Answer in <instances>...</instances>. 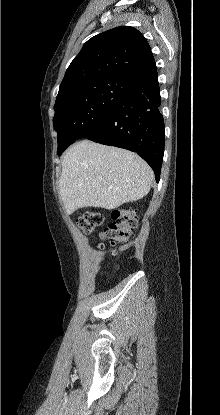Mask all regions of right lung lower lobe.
<instances>
[{
  "instance_id": "right-lung-lower-lobe-1",
  "label": "right lung lower lobe",
  "mask_w": 220,
  "mask_h": 415,
  "mask_svg": "<svg viewBox=\"0 0 220 415\" xmlns=\"http://www.w3.org/2000/svg\"><path fill=\"white\" fill-rule=\"evenodd\" d=\"M158 76V75H157ZM157 76L135 90L108 112L100 128L88 139L138 153L153 169L159 182L164 153V121ZM66 148L60 150L58 155Z\"/></svg>"
}]
</instances>
